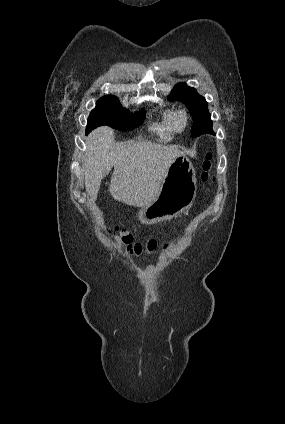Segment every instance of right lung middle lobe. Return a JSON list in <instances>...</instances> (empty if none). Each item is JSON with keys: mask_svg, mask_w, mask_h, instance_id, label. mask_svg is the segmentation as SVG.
Listing matches in <instances>:
<instances>
[{"mask_svg": "<svg viewBox=\"0 0 285 424\" xmlns=\"http://www.w3.org/2000/svg\"><path fill=\"white\" fill-rule=\"evenodd\" d=\"M145 111L129 113L118 101V98L112 95L100 98L95 109H93L88 118L86 133L102 125H108L120 131L132 130L143 123Z\"/></svg>", "mask_w": 285, "mask_h": 424, "instance_id": "right-lung-middle-lobe-1", "label": "right lung middle lobe"}]
</instances>
